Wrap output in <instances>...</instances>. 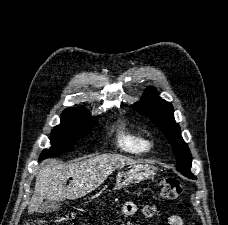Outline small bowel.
Listing matches in <instances>:
<instances>
[{
  "label": "small bowel",
  "mask_w": 228,
  "mask_h": 225,
  "mask_svg": "<svg viewBox=\"0 0 228 225\" xmlns=\"http://www.w3.org/2000/svg\"><path fill=\"white\" fill-rule=\"evenodd\" d=\"M122 211L125 216H132L137 212V206L133 201H125L122 206ZM158 210L154 205H147L143 208L142 214L145 218H152L157 215ZM168 225H183V220L178 215H170L167 221ZM127 225H131V223H127Z\"/></svg>",
  "instance_id": "small-bowel-1"
}]
</instances>
